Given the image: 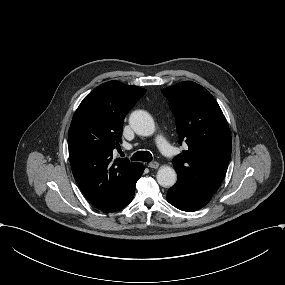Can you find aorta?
Segmentation results:
<instances>
[{
  "label": "aorta",
  "instance_id": "762f6f07",
  "mask_svg": "<svg viewBox=\"0 0 285 285\" xmlns=\"http://www.w3.org/2000/svg\"><path fill=\"white\" fill-rule=\"evenodd\" d=\"M129 124L136 134L151 136L155 132V123L151 115L143 110H136L129 117ZM157 182L162 187H171L176 183L177 174L174 168L162 166L159 168Z\"/></svg>",
  "mask_w": 285,
  "mask_h": 285
}]
</instances>
